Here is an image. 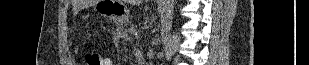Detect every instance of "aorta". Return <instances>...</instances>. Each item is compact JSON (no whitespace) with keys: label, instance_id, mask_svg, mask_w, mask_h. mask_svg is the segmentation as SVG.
<instances>
[{"label":"aorta","instance_id":"762f6f07","mask_svg":"<svg viewBox=\"0 0 309 65\" xmlns=\"http://www.w3.org/2000/svg\"><path fill=\"white\" fill-rule=\"evenodd\" d=\"M175 0H163L160 7L162 21V35L164 39L172 29Z\"/></svg>","mask_w":309,"mask_h":65}]
</instances>
